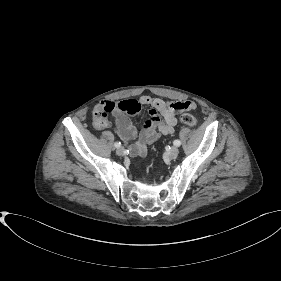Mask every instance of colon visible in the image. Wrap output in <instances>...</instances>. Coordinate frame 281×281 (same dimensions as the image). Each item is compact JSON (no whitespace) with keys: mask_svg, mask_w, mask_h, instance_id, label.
<instances>
[{"mask_svg":"<svg viewBox=\"0 0 281 281\" xmlns=\"http://www.w3.org/2000/svg\"><path fill=\"white\" fill-rule=\"evenodd\" d=\"M183 107L190 108L191 103L187 102L184 104ZM122 108H124L123 104L108 105V106L104 107L103 109L95 112L94 118H93V124H94L95 128H97V129L105 128L108 125L107 116L109 114H113L117 109H122ZM140 109H141L140 105H138L135 102H131L127 105V111L130 113L136 112ZM180 121L182 124H184L185 126H187L189 128H194L196 126L195 117L189 113L182 114L180 116Z\"/></svg>","mask_w":281,"mask_h":281,"instance_id":"1","label":"colon"}]
</instances>
